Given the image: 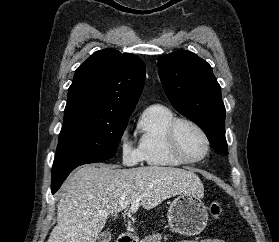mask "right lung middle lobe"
<instances>
[{
    "label": "right lung middle lobe",
    "mask_w": 279,
    "mask_h": 242,
    "mask_svg": "<svg viewBox=\"0 0 279 242\" xmlns=\"http://www.w3.org/2000/svg\"><path fill=\"white\" fill-rule=\"evenodd\" d=\"M128 119L90 117L79 112L65 114L52 167V182L80 165L112 158Z\"/></svg>",
    "instance_id": "dd1d6c3e"
}]
</instances>
